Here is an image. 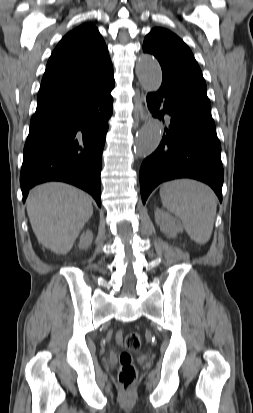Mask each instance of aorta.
I'll return each instance as SVG.
<instances>
[{
    "label": "aorta",
    "instance_id": "obj_1",
    "mask_svg": "<svg viewBox=\"0 0 253 413\" xmlns=\"http://www.w3.org/2000/svg\"><path fill=\"white\" fill-rule=\"evenodd\" d=\"M136 74L146 91L156 92L162 83V73L158 61L149 54L140 56ZM162 139V126L159 120L149 119L138 131L134 148L139 157H146L154 152Z\"/></svg>",
    "mask_w": 253,
    "mask_h": 413
}]
</instances>
